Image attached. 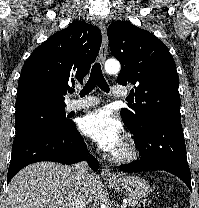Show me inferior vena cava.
Returning a JSON list of instances; mask_svg holds the SVG:
<instances>
[{"label": "inferior vena cava", "instance_id": "obj_1", "mask_svg": "<svg viewBox=\"0 0 199 208\" xmlns=\"http://www.w3.org/2000/svg\"><path fill=\"white\" fill-rule=\"evenodd\" d=\"M88 170L89 167L86 162L76 163L73 166L74 174L79 182L85 179V177L88 175ZM72 208H86V204L83 200L77 198L74 200Z\"/></svg>", "mask_w": 199, "mask_h": 208}]
</instances>
